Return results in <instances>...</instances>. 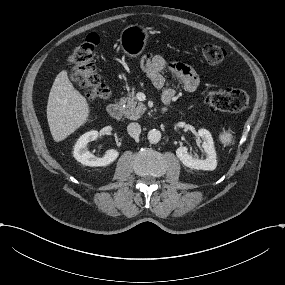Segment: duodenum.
<instances>
[{"label":"duodenum","mask_w":285,"mask_h":285,"mask_svg":"<svg viewBox=\"0 0 285 285\" xmlns=\"http://www.w3.org/2000/svg\"><path fill=\"white\" fill-rule=\"evenodd\" d=\"M172 97L173 96L171 93H167L163 95V104L161 106L162 113H165L167 109L169 108ZM107 111L110 117H112L113 119H119L122 116V107L118 102H114L110 104Z\"/></svg>","instance_id":"obj_1"}]
</instances>
